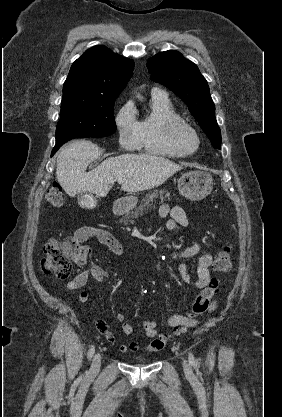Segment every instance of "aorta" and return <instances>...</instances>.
I'll return each instance as SVG.
<instances>
[{"label":"aorta","instance_id":"1","mask_svg":"<svg viewBox=\"0 0 282 417\" xmlns=\"http://www.w3.org/2000/svg\"><path fill=\"white\" fill-rule=\"evenodd\" d=\"M137 98H140V100H142L143 96H141V94H136Z\"/></svg>","mask_w":282,"mask_h":417}]
</instances>
